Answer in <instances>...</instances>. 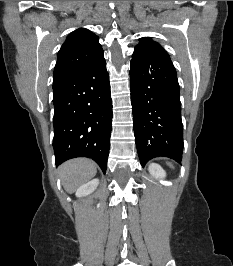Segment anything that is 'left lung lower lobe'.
<instances>
[{
    "label": "left lung lower lobe",
    "mask_w": 233,
    "mask_h": 266,
    "mask_svg": "<svg viewBox=\"0 0 233 266\" xmlns=\"http://www.w3.org/2000/svg\"><path fill=\"white\" fill-rule=\"evenodd\" d=\"M133 129L141 165L164 156L181 162L183 125L176 70L160 46H136L131 60Z\"/></svg>",
    "instance_id": "0a47b994"
}]
</instances>
